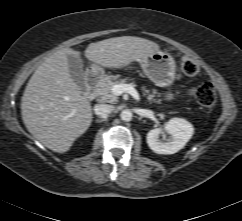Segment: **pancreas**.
Masks as SVG:
<instances>
[{
	"mask_svg": "<svg viewBox=\"0 0 242 221\" xmlns=\"http://www.w3.org/2000/svg\"><path fill=\"white\" fill-rule=\"evenodd\" d=\"M127 82V79H120L118 75H110L103 77L97 85L96 94L98 96L99 102H106L115 104L118 102V97L112 91V88L116 84H124ZM144 95L149 93V90L143 89ZM156 92L153 91V94L148 95V99L153 100L157 103H160V100L154 99Z\"/></svg>",
	"mask_w": 242,
	"mask_h": 221,
	"instance_id": "pancreas-1",
	"label": "pancreas"
}]
</instances>
